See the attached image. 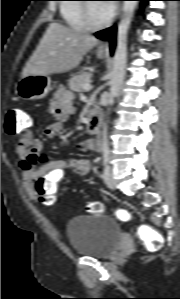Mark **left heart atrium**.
<instances>
[{
  "label": "left heart atrium",
  "instance_id": "obj_1",
  "mask_svg": "<svg viewBox=\"0 0 180 299\" xmlns=\"http://www.w3.org/2000/svg\"><path fill=\"white\" fill-rule=\"evenodd\" d=\"M112 2L113 1H107V3L104 4V8L109 15H111L115 9V4Z\"/></svg>",
  "mask_w": 180,
  "mask_h": 299
}]
</instances>
